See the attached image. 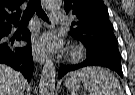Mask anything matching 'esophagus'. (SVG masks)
Segmentation results:
<instances>
[{"label":"esophagus","instance_id":"34e87169","mask_svg":"<svg viewBox=\"0 0 135 95\" xmlns=\"http://www.w3.org/2000/svg\"><path fill=\"white\" fill-rule=\"evenodd\" d=\"M32 55H33L34 61L37 63L43 64L46 60V54L40 52L36 48V38L33 40V44H32Z\"/></svg>","mask_w":135,"mask_h":95}]
</instances>
